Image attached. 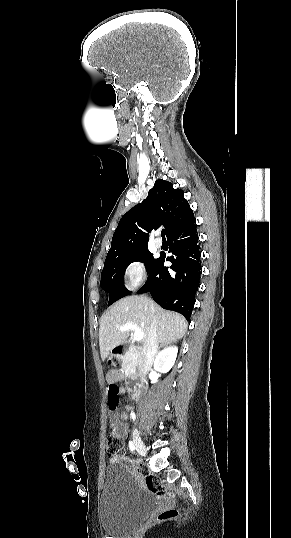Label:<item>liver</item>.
I'll return each instance as SVG.
<instances>
[{
  "label": "liver",
  "mask_w": 291,
  "mask_h": 538,
  "mask_svg": "<svg viewBox=\"0 0 291 538\" xmlns=\"http://www.w3.org/2000/svg\"><path fill=\"white\" fill-rule=\"evenodd\" d=\"M156 320L158 342L168 345L181 339L187 331V321L175 312L166 311L145 296H129L109 307L100 319L99 346L102 360L117 346L124 344L130 330L120 331L125 323H134L147 341L150 325Z\"/></svg>",
  "instance_id": "obj_1"
}]
</instances>
